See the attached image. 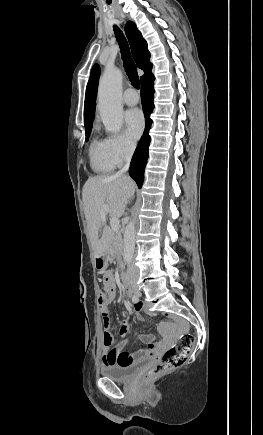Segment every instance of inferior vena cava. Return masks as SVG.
I'll list each match as a JSON object with an SVG mask.
<instances>
[{
	"label": "inferior vena cava",
	"mask_w": 263,
	"mask_h": 435,
	"mask_svg": "<svg viewBox=\"0 0 263 435\" xmlns=\"http://www.w3.org/2000/svg\"><path fill=\"white\" fill-rule=\"evenodd\" d=\"M135 147H136L135 144H130L127 147V151H126V154H125V157H124V159H125V165H124V167L121 170L118 171L117 175H123L125 172L128 171L129 164H130L132 155L134 153ZM132 195H133V193L131 194V196ZM137 273H138L137 268L133 264H129L128 268H127V274L128 275H133V274H137Z\"/></svg>",
	"instance_id": "602c4592"
}]
</instances>
